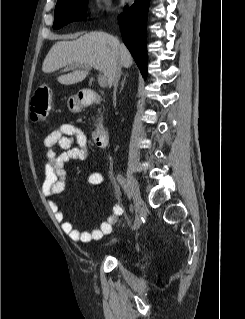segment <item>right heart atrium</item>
<instances>
[{"instance_id":"right-heart-atrium-1","label":"right heart atrium","mask_w":245,"mask_h":319,"mask_svg":"<svg viewBox=\"0 0 245 319\" xmlns=\"http://www.w3.org/2000/svg\"><path fill=\"white\" fill-rule=\"evenodd\" d=\"M91 3L96 12L108 11L111 8L110 0H92Z\"/></svg>"}]
</instances>
